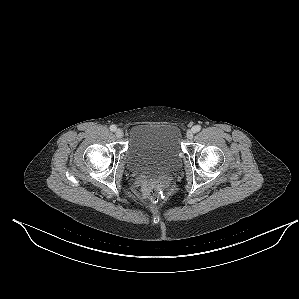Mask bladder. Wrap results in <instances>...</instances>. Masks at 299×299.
Wrapping results in <instances>:
<instances>
[{
    "label": "bladder",
    "mask_w": 299,
    "mask_h": 299,
    "mask_svg": "<svg viewBox=\"0 0 299 299\" xmlns=\"http://www.w3.org/2000/svg\"><path fill=\"white\" fill-rule=\"evenodd\" d=\"M182 157L179 129L172 124H139L131 130L126 153L136 174L161 176L178 169Z\"/></svg>",
    "instance_id": "bladder-1"
}]
</instances>
